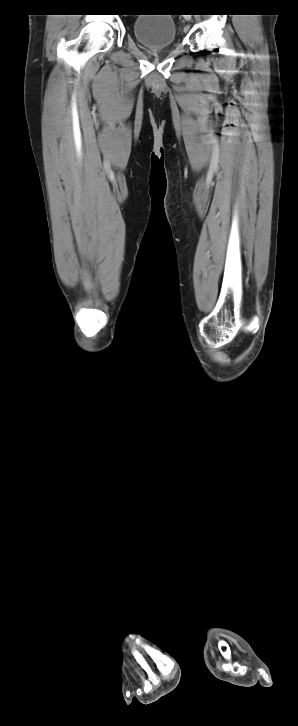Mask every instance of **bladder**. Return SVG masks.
I'll return each instance as SVG.
<instances>
[{"label": "bladder", "mask_w": 298, "mask_h": 726, "mask_svg": "<svg viewBox=\"0 0 298 726\" xmlns=\"http://www.w3.org/2000/svg\"><path fill=\"white\" fill-rule=\"evenodd\" d=\"M132 32L134 37L149 49L170 47L176 42L177 37L176 24L167 14H139L132 24Z\"/></svg>", "instance_id": "bladder-1"}]
</instances>
